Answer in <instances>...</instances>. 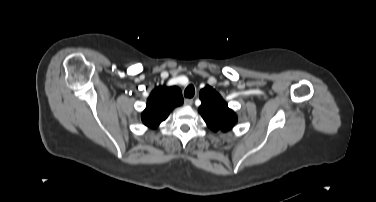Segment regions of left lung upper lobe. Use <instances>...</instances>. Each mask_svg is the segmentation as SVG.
Wrapping results in <instances>:
<instances>
[{
    "label": "left lung upper lobe",
    "instance_id": "5c2ea615",
    "mask_svg": "<svg viewBox=\"0 0 376 202\" xmlns=\"http://www.w3.org/2000/svg\"><path fill=\"white\" fill-rule=\"evenodd\" d=\"M200 99L202 104L198 111L212 131L226 132L235 125L236 114L212 87L207 85L203 88L200 91Z\"/></svg>",
    "mask_w": 376,
    "mask_h": 202
}]
</instances>
